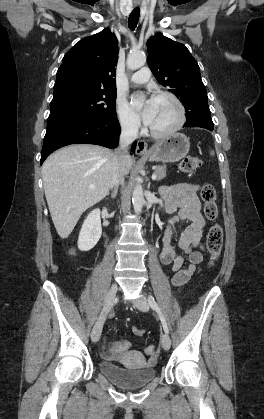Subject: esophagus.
<instances>
[{
    "label": "esophagus",
    "instance_id": "esophagus-1",
    "mask_svg": "<svg viewBox=\"0 0 264 419\" xmlns=\"http://www.w3.org/2000/svg\"><path fill=\"white\" fill-rule=\"evenodd\" d=\"M148 152L149 151H148V145H147V143L145 141H143V140H139L137 142V146H136V153L138 155H145Z\"/></svg>",
    "mask_w": 264,
    "mask_h": 419
}]
</instances>
